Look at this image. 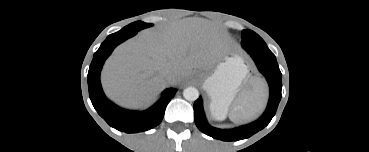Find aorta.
Wrapping results in <instances>:
<instances>
[{"mask_svg":"<svg viewBox=\"0 0 369 152\" xmlns=\"http://www.w3.org/2000/svg\"><path fill=\"white\" fill-rule=\"evenodd\" d=\"M183 97L188 101H195L199 97V92L195 87H187L183 91Z\"/></svg>","mask_w":369,"mask_h":152,"instance_id":"obj_1","label":"aorta"}]
</instances>
